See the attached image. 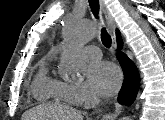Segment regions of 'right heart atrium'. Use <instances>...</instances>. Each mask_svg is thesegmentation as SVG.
Returning a JSON list of instances; mask_svg holds the SVG:
<instances>
[{
	"label": "right heart atrium",
	"instance_id": "1",
	"mask_svg": "<svg viewBox=\"0 0 165 120\" xmlns=\"http://www.w3.org/2000/svg\"><path fill=\"white\" fill-rule=\"evenodd\" d=\"M67 100L74 104H81L92 99L86 86L81 82L63 83Z\"/></svg>",
	"mask_w": 165,
	"mask_h": 120
}]
</instances>
